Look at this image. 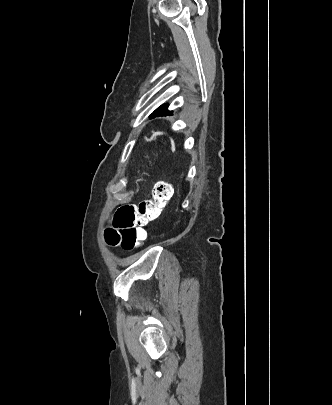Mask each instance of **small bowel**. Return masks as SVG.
I'll use <instances>...</instances> for the list:
<instances>
[{"instance_id":"small-bowel-1","label":"small bowel","mask_w":332,"mask_h":405,"mask_svg":"<svg viewBox=\"0 0 332 405\" xmlns=\"http://www.w3.org/2000/svg\"><path fill=\"white\" fill-rule=\"evenodd\" d=\"M119 237H120V234H119ZM121 241H122V238L120 237V240H119V243H118L119 245H121Z\"/></svg>"}]
</instances>
